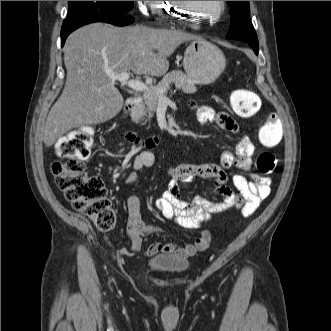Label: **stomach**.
Masks as SVG:
<instances>
[{
	"instance_id": "obj_1",
	"label": "stomach",
	"mask_w": 331,
	"mask_h": 331,
	"mask_svg": "<svg viewBox=\"0 0 331 331\" xmlns=\"http://www.w3.org/2000/svg\"><path fill=\"white\" fill-rule=\"evenodd\" d=\"M226 59L223 52L204 39L193 40L186 48L183 67L189 78L197 84H210L224 71Z\"/></svg>"
}]
</instances>
